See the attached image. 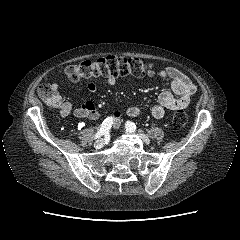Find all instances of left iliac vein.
<instances>
[{
  "instance_id": "4c4485c4",
  "label": "left iliac vein",
  "mask_w": 240,
  "mask_h": 240,
  "mask_svg": "<svg viewBox=\"0 0 240 240\" xmlns=\"http://www.w3.org/2000/svg\"><path fill=\"white\" fill-rule=\"evenodd\" d=\"M130 133H133V132H130ZM138 137L143 141V143H145L147 145L150 144V140L144 134H138Z\"/></svg>"
}]
</instances>
